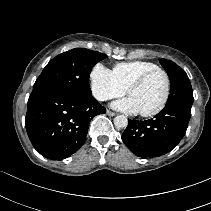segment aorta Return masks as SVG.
<instances>
[{
	"mask_svg": "<svg viewBox=\"0 0 211 211\" xmlns=\"http://www.w3.org/2000/svg\"><path fill=\"white\" fill-rule=\"evenodd\" d=\"M114 125L117 128H125L128 125L127 117L124 115H118L114 118Z\"/></svg>",
	"mask_w": 211,
	"mask_h": 211,
	"instance_id": "obj_1",
	"label": "aorta"
}]
</instances>
